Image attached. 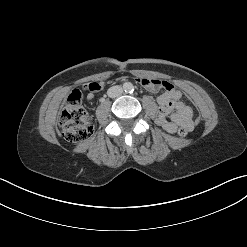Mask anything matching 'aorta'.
<instances>
[{
    "label": "aorta",
    "mask_w": 247,
    "mask_h": 247,
    "mask_svg": "<svg viewBox=\"0 0 247 247\" xmlns=\"http://www.w3.org/2000/svg\"><path fill=\"white\" fill-rule=\"evenodd\" d=\"M123 88L125 91H131L133 89V85L130 82H126L123 84Z\"/></svg>",
    "instance_id": "1"
}]
</instances>
